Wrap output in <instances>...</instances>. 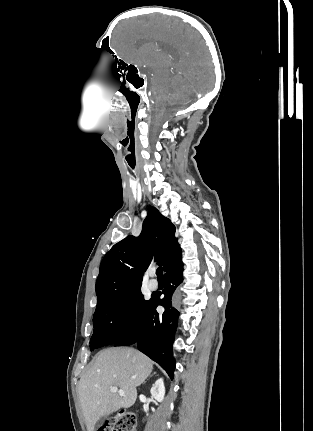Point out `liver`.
I'll return each mask as SVG.
<instances>
[{"instance_id":"liver-1","label":"liver","mask_w":313,"mask_h":431,"mask_svg":"<svg viewBox=\"0 0 313 431\" xmlns=\"http://www.w3.org/2000/svg\"><path fill=\"white\" fill-rule=\"evenodd\" d=\"M153 362L132 348H108L100 351L78 384V396L88 431H94L101 417L120 408L131 407L137 399V387L150 375ZM119 387L124 396L110 392Z\"/></svg>"}]
</instances>
